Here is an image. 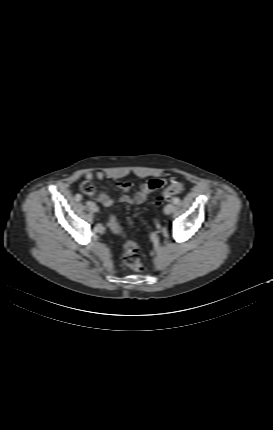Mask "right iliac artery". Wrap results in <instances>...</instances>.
<instances>
[{
	"instance_id": "82829eb1",
	"label": "right iliac artery",
	"mask_w": 273,
	"mask_h": 430,
	"mask_svg": "<svg viewBox=\"0 0 273 430\" xmlns=\"http://www.w3.org/2000/svg\"><path fill=\"white\" fill-rule=\"evenodd\" d=\"M81 199H82V196H81L80 194H77V195H76V200H77V201H80Z\"/></svg>"
}]
</instances>
